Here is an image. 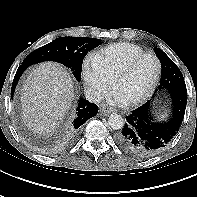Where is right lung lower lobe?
Here are the masks:
<instances>
[{
  "mask_svg": "<svg viewBox=\"0 0 197 197\" xmlns=\"http://www.w3.org/2000/svg\"><path fill=\"white\" fill-rule=\"evenodd\" d=\"M30 65L22 63V65L18 68L12 88H11V96L15 91L16 85L22 73L29 67ZM98 112V106L96 104L90 103L89 101L81 98L79 100L78 107L76 109V116L72 124L69 126L68 130L71 134L77 132L81 125H83L88 119L95 116Z\"/></svg>",
  "mask_w": 197,
  "mask_h": 197,
  "instance_id": "98d812e1",
  "label": "right lung lower lobe"
}]
</instances>
